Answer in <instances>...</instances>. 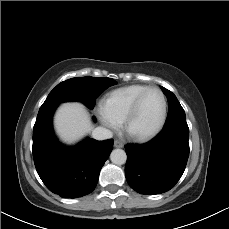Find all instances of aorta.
Masks as SVG:
<instances>
[{
	"instance_id": "762f6f07",
	"label": "aorta",
	"mask_w": 229,
	"mask_h": 229,
	"mask_svg": "<svg viewBox=\"0 0 229 229\" xmlns=\"http://www.w3.org/2000/svg\"><path fill=\"white\" fill-rule=\"evenodd\" d=\"M110 159L116 165H123L126 162L127 156L124 150L115 149L111 152Z\"/></svg>"
}]
</instances>
